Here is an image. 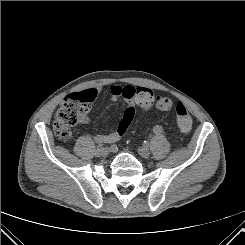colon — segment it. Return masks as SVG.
Returning <instances> with one entry per match:
<instances>
[{"label": "colon", "mask_w": 245, "mask_h": 245, "mask_svg": "<svg viewBox=\"0 0 245 245\" xmlns=\"http://www.w3.org/2000/svg\"><path fill=\"white\" fill-rule=\"evenodd\" d=\"M96 97V90L89 89L73 93L65 98L58 108L53 123V130L57 138L67 140L71 136V128L80 123L89 110L90 104ZM154 94L150 89L138 87L135 91V101L144 110L153 103ZM176 120L179 130L187 134L192 128V118L182 103L175 107Z\"/></svg>", "instance_id": "obj_1"}]
</instances>
